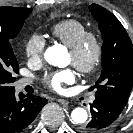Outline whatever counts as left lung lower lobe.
I'll use <instances>...</instances> for the list:
<instances>
[{"label": "left lung lower lobe", "mask_w": 133, "mask_h": 133, "mask_svg": "<svg viewBox=\"0 0 133 133\" xmlns=\"http://www.w3.org/2000/svg\"><path fill=\"white\" fill-rule=\"evenodd\" d=\"M125 104L103 94H96L90 111L91 121L82 127L85 133H98L107 128L122 112Z\"/></svg>", "instance_id": "1"}]
</instances>
